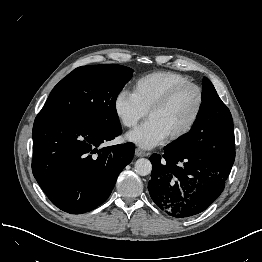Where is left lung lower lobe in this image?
I'll use <instances>...</instances> for the list:
<instances>
[{"instance_id":"left-lung-lower-lobe-1","label":"left lung lower lobe","mask_w":262,"mask_h":262,"mask_svg":"<svg viewBox=\"0 0 262 262\" xmlns=\"http://www.w3.org/2000/svg\"><path fill=\"white\" fill-rule=\"evenodd\" d=\"M235 159V144L220 158L177 152L168 146L153 154L148 190L155 204L168 215L189 218L206 210L222 193Z\"/></svg>"}]
</instances>
